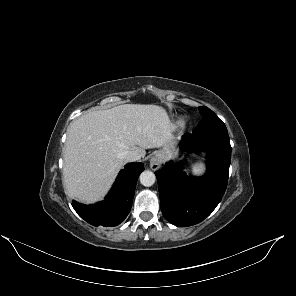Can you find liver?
<instances>
[{
    "label": "liver",
    "instance_id": "obj_1",
    "mask_svg": "<svg viewBox=\"0 0 296 296\" xmlns=\"http://www.w3.org/2000/svg\"><path fill=\"white\" fill-rule=\"evenodd\" d=\"M173 125L160 106L124 104L90 111L67 131L63 183L67 193L84 203L101 200L126 161L123 153L168 147Z\"/></svg>",
    "mask_w": 296,
    "mask_h": 296
}]
</instances>
